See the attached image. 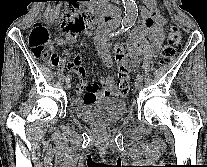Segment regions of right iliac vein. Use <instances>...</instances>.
Listing matches in <instances>:
<instances>
[{
  "mask_svg": "<svg viewBox=\"0 0 207 167\" xmlns=\"http://www.w3.org/2000/svg\"><path fill=\"white\" fill-rule=\"evenodd\" d=\"M64 87H65L66 90L70 89V87H71V83H70V81H66Z\"/></svg>",
  "mask_w": 207,
  "mask_h": 167,
  "instance_id": "63e3f726",
  "label": "right iliac vein"
}]
</instances>
